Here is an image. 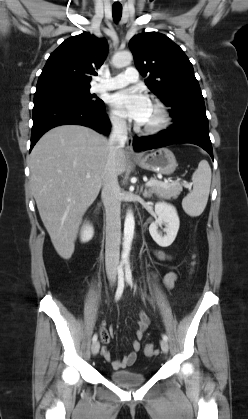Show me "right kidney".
Wrapping results in <instances>:
<instances>
[{
    "mask_svg": "<svg viewBox=\"0 0 248 419\" xmlns=\"http://www.w3.org/2000/svg\"><path fill=\"white\" fill-rule=\"evenodd\" d=\"M94 235V229L93 226L89 223H86L82 226L81 232H80V239L82 242H88L92 239Z\"/></svg>",
    "mask_w": 248,
    "mask_h": 419,
    "instance_id": "ca27d5eb",
    "label": "right kidney"
}]
</instances>
